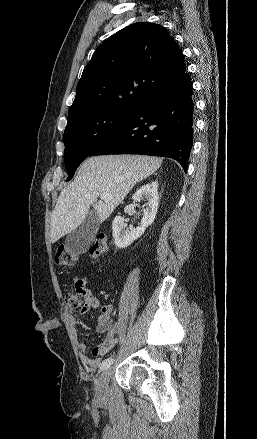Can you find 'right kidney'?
Listing matches in <instances>:
<instances>
[{"label":"right kidney","mask_w":257,"mask_h":439,"mask_svg":"<svg viewBox=\"0 0 257 439\" xmlns=\"http://www.w3.org/2000/svg\"><path fill=\"white\" fill-rule=\"evenodd\" d=\"M132 198L139 203L142 200L146 201L147 203L144 205L146 208L143 209L141 225L136 229L132 227L126 229V223L123 217L116 216L114 218L112 222V232L114 242L118 248H126L131 245L134 240L138 239L145 232L146 228L154 222L159 206L158 182L154 181L143 185L135 192Z\"/></svg>","instance_id":"ca27d5eb"}]
</instances>
